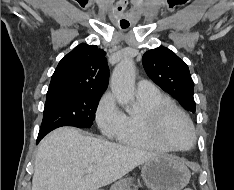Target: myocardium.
<instances>
[{
  "mask_svg": "<svg viewBox=\"0 0 234 190\" xmlns=\"http://www.w3.org/2000/svg\"><path fill=\"white\" fill-rule=\"evenodd\" d=\"M172 114L179 115L187 124L191 132V142L185 147L172 144L164 134V127L167 119ZM150 129L155 139L167 149L173 151H186L193 147L196 141V131L190 117L180 107L173 103H162L154 107L149 113Z\"/></svg>",
  "mask_w": 234,
  "mask_h": 190,
  "instance_id": "obj_1",
  "label": "myocardium"
}]
</instances>
